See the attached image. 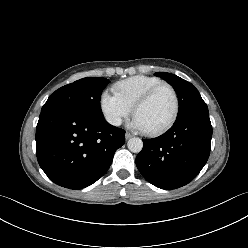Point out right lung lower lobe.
Masks as SVG:
<instances>
[{
    "label": "right lung lower lobe",
    "mask_w": 248,
    "mask_h": 248,
    "mask_svg": "<svg viewBox=\"0 0 248 248\" xmlns=\"http://www.w3.org/2000/svg\"><path fill=\"white\" fill-rule=\"evenodd\" d=\"M124 143L123 129L72 107L41 111L36 128L40 167L54 183L70 189L85 188L101 178Z\"/></svg>",
    "instance_id": "right-lung-lower-lobe-1"
}]
</instances>
